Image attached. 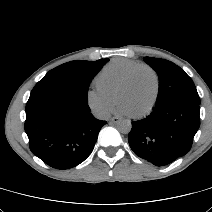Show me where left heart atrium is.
<instances>
[{"instance_id": "39dd6f15", "label": "left heart atrium", "mask_w": 212, "mask_h": 212, "mask_svg": "<svg viewBox=\"0 0 212 212\" xmlns=\"http://www.w3.org/2000/svg\"><path fill=\"white\" fill-rule=\"evenodd\" d=\"M118 113L122 114V115H131L132 113L130 112V110L124 105L121 104L118 109H117Z\"/></svg>"}]
</instances>
